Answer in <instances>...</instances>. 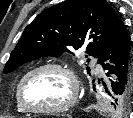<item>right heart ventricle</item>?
<instances>
[{
  "label": "right heart ventricle",
  "mask_w": 133,
  "mask_h": 118,
  "mask_svg": "<svg viewBox=\"0 0 133 118\" xmlns=\"http://www.w3.org/2000/svg\"><path fill=\"white\" fill-rule=\"evenodd\" d=\"M15 98H16V107H17V110L20 113H26V110L21 106V104L18 101L17 90H16V96H15Z\"/></svg>",
  "instance_id": "right-heart-ventricle-1"
}]
</instances>
